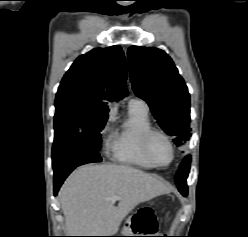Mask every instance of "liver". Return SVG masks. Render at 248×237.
<instances>
[{
  "label": "liver",
  "mask_w": 248,
  "mask_h": 237,
  "mask_svg": "<svg viewBox=\"0 0 248 237\" xmlns=\"http://www.w3.org/2000/svg\"><path fill=\"white\" fill-rule=\"evenodd\" d=\"M170 189L139 169L115 164L85 165L64 182L59 198L67 236H112L138 204ZM118 196V206L110 201Z\"/></svg>",
  "instance_id": "6515ba94"
}]
</instances>
